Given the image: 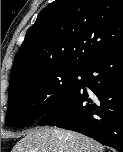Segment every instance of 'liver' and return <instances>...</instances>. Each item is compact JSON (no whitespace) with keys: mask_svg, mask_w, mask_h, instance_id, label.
<instances>
[{"mask_svg":"<svg viewBox=\"0 0 123 152\" xmlns=\"http://www.w3.org/2000/svg\"><path fill=\"white\" fill-rule=\"evenodd\" d=\"M104 147L77 132L53 127L29 131L12 152H103Z\"/></svg>","mask_w":123,"mask_h":152,"instance_id":"1","label":"liver"}]
</instances>
